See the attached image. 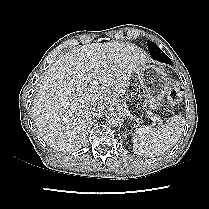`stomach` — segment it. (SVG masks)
I'll list each match as a JSON object with an SVG mask.
<instances>
[{
  "label": "stomach",
  "instance_id": "1",
  "mask_svg": "<svg viewBox=\"0 0 209 209\" xmlns=\"http://www.w3.org/2000/svg\"><path fill=\"white\" fill-rule=\"evenodd\" d=\"M144 91V107L157 110L164 103L169 93V78L163 69L154 65L141 63L135 70Z\"/></svg>",
  "mask_w": 209,
  "mask_h": 209
}]
</instances>
